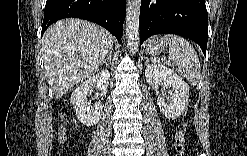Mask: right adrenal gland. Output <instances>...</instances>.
<instances>
[{"mask_svg": "<svg viewBox=\"0 0 247 156\" xmlns=\"http://www.w3.org/2000/svg\"><path fill=\"white\" fill-rule=\"evenodd\" d=\"M111 61H112V57H111V55H108L107 59L104 60L102 64L108 66L109 63H111Z\"/></svg>", "mask_w": 247, "mask_h": 156, "instance_id": "1", "label": "right adrenal gland"}]
</instances>
